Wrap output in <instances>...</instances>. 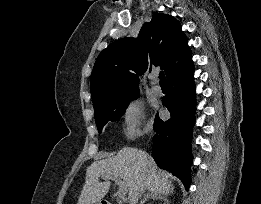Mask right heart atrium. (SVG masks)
Listing matches in <instances>:
<instances>
[{
  "mask_svg": "<svg viewBox=\"0 0 261 204\" xmlns=\"http://www.w3.org/2000/svg\"><path fill=\"white\" fill-rule=\"evenodd\" d=\"M122 132L125 139L132 141L147 133L150 129L145 107L140 100L129 101L122 112Z\"/></svg>",
  "mask_w": 261,
  "mask_h": 204,
  "instance_id": "1",
  "label": "right heart atrium"
}]
</instances>
